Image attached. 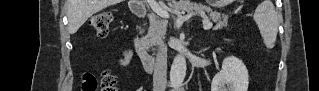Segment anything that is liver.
Returning <instances> with one entry per match:
<instances>
[{
	"label": "liver",
	"mask_w": 319,
	"mask_h": 91,
	"mask_svg": "<svg viewBox=\"0 0 319 91\" xmlns=\"http://www.w3.org/2000/svg\"><path fill=\"white\" fill-rule=\"evenodd\" d=\"M120 1L121 0H67L70 32H77L92 15Z\"/></svg>",
	"instance_id": "obj_1"
}]
</instances>
